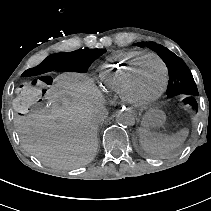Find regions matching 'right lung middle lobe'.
<instances>
[{
  "label": "right lung middle lobe",
  "instance_id": "right-lung-middle-lobe-1",
  "mask_svg": "<svg viewBox=\"0 0 211 211\" xmlns=\"http://www.w3.org/2000/svg\"><path fill=\"white\" fill-rule=\"evenodd\" d=\"M83 52V61H84V69L82 72H86L90 64L97 59L99 56H101L103 53L106 52L104 49H87L82 50Z\"/></svg>",
  "mask_w": 211,
  "mask_h": 211
}]
</instances>
